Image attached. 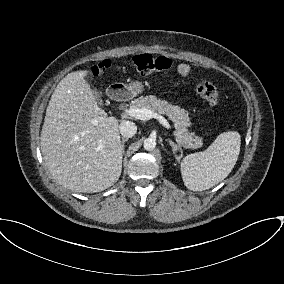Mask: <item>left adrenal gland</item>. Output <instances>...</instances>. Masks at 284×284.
<instances>
[{"mask_svg": "<svg viewBox=\"0 0 284 284\" xmlns=\"http://www.w3.org/2000/svg\"><path fill=\"white\" fill-rule=\"evenodd\" d=\"M168 143H169V145L172 147V151H173V154H174V155H175V153H176L177 151H180V152L182 153V148H181L180 145H178V144L172 142L171 140H168ZM175 156H176V155H175Z\"/></svg>", "mask_w": 284, "mask_h": 284, "instance_id": "left-adrenal-gland-1", "label": "left adrenal gland"}]
</instances>
